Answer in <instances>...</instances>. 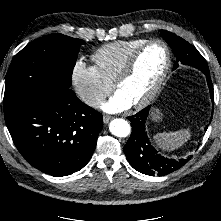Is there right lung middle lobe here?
<instances>
[{
  "mask_svg": "<svg viewBox=\"0 0 221 221\" xmlns=\"http://www.w3.org/2000/svg\"><path fill=\"white\" fill-rule=\"evenodd\" d=\"M83 40L51 34L29 43L13 58L6 79L5 94L39 93L56 84L70 88L72 71Z\"/></svg>",
  "mask_w": 221,
  "mask_h": 221,
  "instance_id": "right-lung-middle-lobe-1",
  "label": "right lung middle lobe"
}]
</instances>
